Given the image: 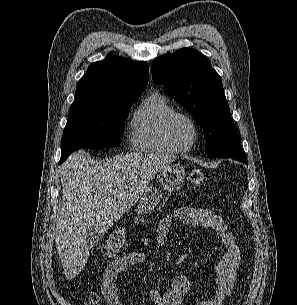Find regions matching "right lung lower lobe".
Returning a JSON list of instances; mask_svg holds the SVG:
<instances>
[{"label":"right lung lower lobe","mask_w":297,"mask_h":305,"mask_svg":"<svg viewBox=\"0 0 297 305\" xmlns=\"http://www.w3.org/2000/svg\"><path fill=\"white\" fill-rule=\"evenodd\" d=\"M65 160L63 158L60 159L59 164H61L62 162H64Z\"/></svg>","instance_id":"right-lung-lower-lobe-1"}]
</instances>
